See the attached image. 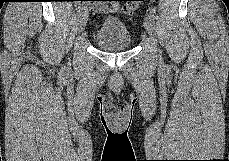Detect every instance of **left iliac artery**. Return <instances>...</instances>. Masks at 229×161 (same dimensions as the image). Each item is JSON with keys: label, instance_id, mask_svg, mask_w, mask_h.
<instances>
[{"label": "left iliac artery", "instance_id": "obj_1", "mask_svg": "<svg viewBox=\"0 0 229 161\" xmlns=\"http://www.w3.org/2000/svg\"><path fill=\"white\" fill-rule=\"evenodd\" d=\"M149 15L153 18V19H156L157 16H156V11L153 7H149Z\"/></svg>", "mask_w": 229, "mask_h": 161}]
</instances>
